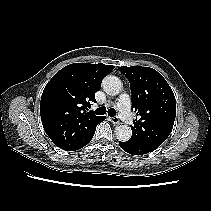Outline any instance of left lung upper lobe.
Masks as SVG:
<instances>
[{
    "mask_svg": "<svg viewBox=\"0 0 211 211\" xmlns=\"http://www.w3.org/2000/svg\"><path fill=\"white\" fill-rule=\"evenodd\" d=\"M130 82L132 109L139 120L131 139L158 148L170 135L176 116L175 96L164 77L150 67H118Z\"/></svg>",
    "mask_w": 211,
    "mask_h": 211,
    "instance_id": "left-lung-upper-lobe-1",
    "label": "left lung upper lobe"
}]
</instances>
